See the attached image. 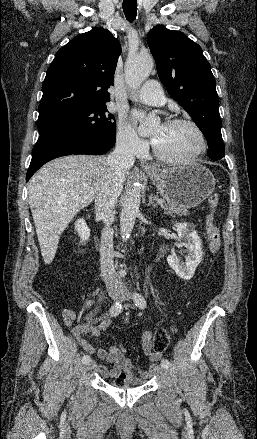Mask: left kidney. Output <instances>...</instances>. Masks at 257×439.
<instances>
[{"instance_id": "obj_1", "label": "left kidney", "mask_w": 257, "mask_h": 439, "mask_svg": "<svg viewBox=\"0 0 257 439\" xmlns=\"http://www.w3.org/2000/svg\"><path fill=\"white\" fill-rule=\"evenodd\" d=\"M174 225L179 239L185 241L182 245L186 248L187 256L184 263L180 262L175 254H171L167 257V262L180 278L190 280L194 275L196 267L202 261L201 239L193 226L188 223H175Z\"/></svg>"}]
</instances>
